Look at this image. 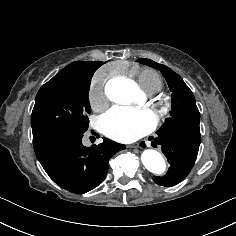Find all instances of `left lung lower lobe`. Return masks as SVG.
<instances>
[{
  "label": "left lung lower lobe",
  "instance_id": "1",
  "mask_svg": "<svg viewBox=\"0 0 236 236\" xmlns=\"http://www.w3.org/2000/svg\"><path fill=\"white\" fill-rule=\"evenodd\" d=\"M201 135L179 129H167L155 138L153 144L161 145L170 169L163 177L153 176L162 186L180 183L191 171L199 150Z\"/></svg>",
  "mask_w": 236,
  "mask_h": 236
}]
</instances>
